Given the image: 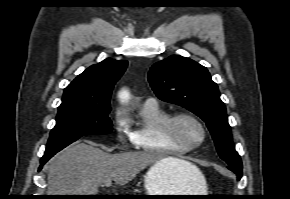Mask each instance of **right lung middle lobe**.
I'll list each match as a JSON object with an SVG mask.
<instances>
[{
    "instance_id": "dd1d6c3e",
    "label": "right lung middle lobe",
    "mask_w": 290,
    "mask_h": 199,
    "mask_svg": "<svg viewBox=\"0 0 290 199\" xmlns=\"http://www.w3.org/2000/svg\"><path fill=\"white\" fill-rule=\"evenodd\" d=\"M44 155L57 153L82 136L112 131L107 106H71L58 109Z\"/></svg>"
}]
</instances>
